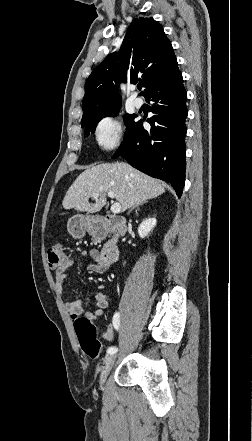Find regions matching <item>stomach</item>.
I'll list each match as a JSON object with an SVG mask.
<instances>
[{
  "instance_id": "obj_1",
  "label": "stomach",
  "mask_w": 252,
  "mask_h": 441,
  "mask_svg": "<svg viewBox=\"0 0 252 441\" xmlns=\"http://www.w3.org/2000/svg\"><path fill=\"white\" fill-rule=\"evenodd\" d=\"M94 223L93 217L77 214L68 220L67 227L74 238L80 239L85 236L86 232H94Z\"/></svg>"
}]
</instances>
